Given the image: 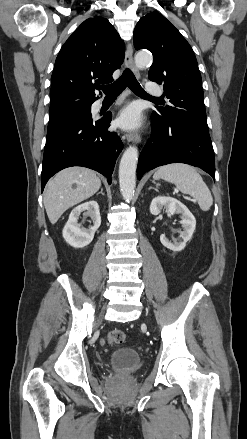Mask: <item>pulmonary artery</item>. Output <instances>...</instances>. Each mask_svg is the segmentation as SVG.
<instances>
[{"mask_svg":"<svg viewBox=\"0 0 247 439\" xmlns=\"http://www.w3.org/2000/svg\"><path fill=\"white\" fill-rule=\"evenodd\" d=\"M146 90L149 94H152V95H161L162 94L161 87L152 81H149L146 83Z\"/></svg>","mask_w":247,"mask_h":439,"instance_id":"1","label":"pulmonary artery"}]
</instances>
